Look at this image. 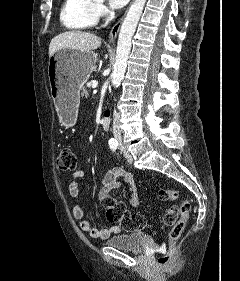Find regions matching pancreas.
<instances>
[{
    "mask_svg": "<svg viewBox=\"0 0 240 281\" xmlns=\"http://www.w3.org/2000/svg\"><path fill=\"white\" fill-rule=\"evenodd\" d=\"M90 85L89 83L86 85V87H83L82 90H81V96L82 97H88L89 96V91L87 88H89Z\"/></svg>",
    "mask_w": 240,
    "mask_h": 281,
    "instance_id": "pancreas-1",
    "label": "pancreas"
}]
</instances>
